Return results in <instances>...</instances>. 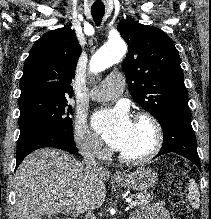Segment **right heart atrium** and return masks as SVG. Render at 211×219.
I'll return each mask as SVG.
<instances>
[{"label": "right heart atrium", "instance_id": "d8ad5b80", "mask_svg": "<svg viewBox=\"0 0 211 219\" xmlns=\"http://www.w3.org/2000/svg\"><path fill=\"white\" fill-rule=\"evenodd\" d=\"M74 142L79 151L91 158L102 159L107 154L101 140L88 128L85 121L77 119L73 129Z\"/></svg>", "mask_w": 211, "mask_h": 219}]
</instances>
